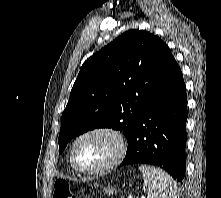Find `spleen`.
Instances as JSON below:
<instances>
[{
	"label": "spleen",
	"instance_id": "spleen-1",
	"mask_svg": "<svg viewBox=\"0 0 221 198\" xmlns=\"http://www.w3.org/2000/svg\"><path fill=\"white\" fill-rule=\"evenodd\" d=\"M139 170L143 175V190L147 198H179L176 182L165 171L150 165H141Z\"/></svg>",
	"mask_w": 221,
	"mask_h": 198
}]
</instances>
